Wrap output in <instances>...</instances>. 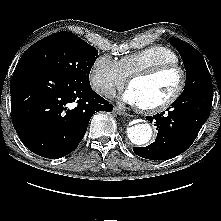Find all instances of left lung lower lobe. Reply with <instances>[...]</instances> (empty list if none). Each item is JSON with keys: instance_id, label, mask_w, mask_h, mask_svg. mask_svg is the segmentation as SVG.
I'll return each mask as SVG.
<instances>
[{"instance_id": "0a47b994", "label": "left lung lower lobe", "mask_w": 221, "mask_h": 221, "mask_svg": "<svg viewBox=\"0 0 221 221\" xmlns=\"http://www.w3.org/2000/svg\"><path fill=\"white\" fill-rule=\"evenodd\" d=\"M212 100L213 86H205L179 97L166 114L148 116L155 122L157 137L146 147H134V152L150 160H167L183 153L208 119Z\"/></svg>"}]
</instances>
